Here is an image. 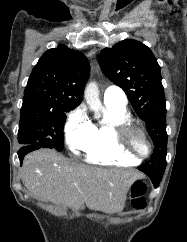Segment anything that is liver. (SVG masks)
<instances>
[{
  "label": "liver",
  "mask_w": 187,
  "mask_h": 242,
  "mask_svg": "<svg viewBox=\"0 0 187 242\" xmlns=\"http://www.w3.org/2000/svg\"><path fill=\"white\" fill-rule=\"evenodd\" d=\"M21 179L31 195L69 208L113 214L123 210L126 195L141 175L133 170L102 169L68 160L54 150L28 154Z\"/></svg>",
  "instance_id": "6515ba94"
}]
</instances>
